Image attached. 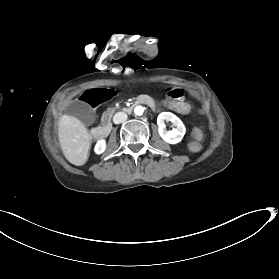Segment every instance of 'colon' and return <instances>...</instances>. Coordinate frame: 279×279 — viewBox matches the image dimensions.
Returning <instances> with one entry per match:
<instances>
[{"label": "colon", "instance_id": "colon-1", "mask_svg": "<svg viewBox=\"0 0 279 279\" xmlns=\"http://www.w3.org/2000/svg\"><path fill=\"white\" fill-rule=\"evenodd\" d=\"M192 135H193V137H194L195 139H197V140H199V139L202 138V132H201L200 129H197V128L193 129Z\"/></svg>", "mask_w": 279, "mask_h": 279}]
</instances>
